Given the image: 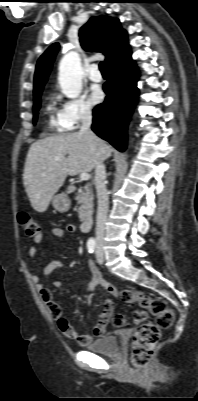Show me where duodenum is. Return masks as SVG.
Returning <instances> with one entry per match:
<instances>
[{"label": "duodenum", "instance_id": "410a0bca", "mask_svg": "<svg viewBox=\"0 0 198 401\" xmlns=\"http://www.w3.org/2000/svg\"><path fill=\"white\" fill-rule=\"evenodd\" d=\"M93 222H94V217L92 215L86 216L81 224V231L84 233L88 232Z\"/></svg>", "mask_w": 198, "mask_h": 401}]
</instances>
